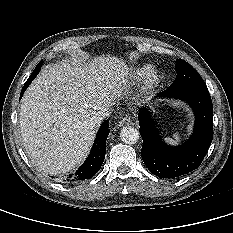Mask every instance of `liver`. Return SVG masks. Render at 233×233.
<instances>
[{
  "label": "liver",
  "instance_id": "1",
  "mask_svg": "<svg viewBox=\"0 0 233 233\" xmlns=\"http://www.w3.org/2000/svg\"><path fill=\"white\" fill-rule=\"evenodd\" d=\"M128 74L114 56L78 58L43 69L25 91L19 113L31 163L50 175L78 166L100 126L95 115L122 95Z\"/></svg>",
  "mask_w": 233,
  "mask_h": 233
}]
</instances>
